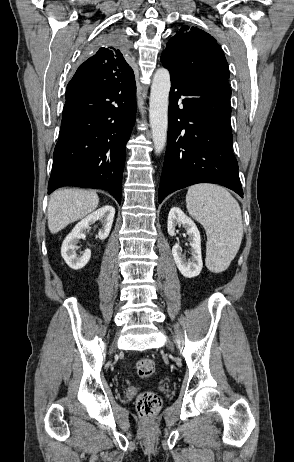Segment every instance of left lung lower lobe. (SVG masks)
Masks as SVG:
<instances>
[{
  "instance_id": "0a47b994",
  "label": "left lung lower lobe",
  "mask_w": 294,
  "mask_h": 462,
  "mask_svg": "<svg viewBox=\"0 0 294 462\" xmlns=\"http://www.w3.org/2000/svg\"><path fill=\"white\" fill-rule=\"evenodd\" d=\"M168 144L158 200L196 183L220 184L243 197L232 152L231 89L227 82L171 76Z\"/></svg>"
}]
</instances>
